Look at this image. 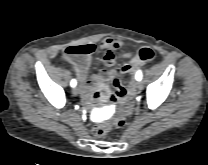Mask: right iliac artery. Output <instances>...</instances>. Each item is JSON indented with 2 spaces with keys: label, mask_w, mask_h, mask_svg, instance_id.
I'll use <instances>...</instances> for the list:
<instances>
[{
  "label": "right iliac artery",
  "mask_w": 208,
  "mask_h": 165,
  "mask_svg": "<svg viewBox=\"0 0 208 165\" xmlns=\"http://www.w3.org/2000/svg\"><path fill=\"white\" fill-rule=\"evenodd\" d=\"M70 85H71L72 87H75V86H76V80L73 79V80L71 81Z\"/></svg>",
  "instance_id": "1"
}]
</instances>
